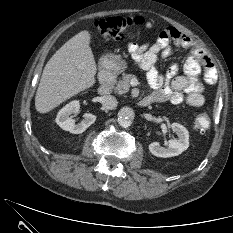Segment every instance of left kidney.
Here are the masks:
<instances>
[{
  "label": "left kidney",
  "mask_w": 233,
  "mask_h": 233,
  "mask_svg": "<svg viewBox=\"0 0 233 233\" xmlns=\"http://www.w3.org/2000/svg\"><path fill=\"white\" fill-rule=\"evenodd\" d=\"M171 128L177 134V139L168 141V147H161L158 142L149 145V151L156 157L168 158L178 156L189 147V132L179 123H173Z\"/></svg>",
  "instance_id": "left-kidney-1"
}]
</instances>
